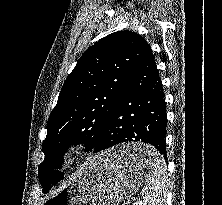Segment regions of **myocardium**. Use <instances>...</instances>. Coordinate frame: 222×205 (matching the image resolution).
<instances>
[{
  "mask_svg": "<svg viewBox=\"0 0 222 205\" xmlns=\"http://www.w3.org/2000/svg\"><path fill=\"white\" fill-rule=\"evenodd\" d=\"M82 146L77 143L68 144L61 153L63 162L70 163L76 160L81 154Z\"/></svg>",
  "mask_w": 222,
  "mask_h": 205,
  "instance_id": "myocardium-1",
  "label": "myocardium"
}]
</instances>
